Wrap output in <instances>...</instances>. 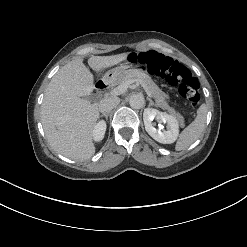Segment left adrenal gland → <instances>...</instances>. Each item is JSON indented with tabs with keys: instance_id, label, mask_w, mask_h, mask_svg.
I'll use <instances>...</instances> for the list:
<instances>
[{
	"instance_id": "a2214340",
	"label": "left adrenal gland",
	"mask_w": 247,
	"mask_h": 247,
	"mask_svg": "<svg viewBox=\"0 0 247 247\" xmlns=\"http://www.w3.org/2000/svg\"><path fill=\"white\" fill-rule=\"evenodd\" d=\"M147 100L149 101V106H156L157 107V105L152 101L151 98H147Z\"/></svg>"
}]
</instances>
